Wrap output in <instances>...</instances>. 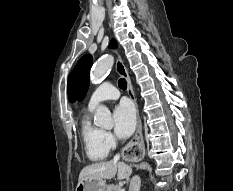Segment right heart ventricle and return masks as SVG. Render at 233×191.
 Listing matches in <instances>:
<instances>
[{
    "mask_svg": "<svg viewBox=\"0 0 233 191\" xmlns=\"http://www.w3.org/2000/svg\"><path fill=\"white\" fill-rule=\"evenodd\" d=\"M81 137L87 157L94 162L107 158L109 150L103 141V130L95 126L89 115H85L81 122Z\"/></svg>",
    "mask_w": 233,
    "mask_h": 191,
    "instance_id": "right-heart-ventricle-1",
    "label": "right heart ventricle"
}]
</instances>
